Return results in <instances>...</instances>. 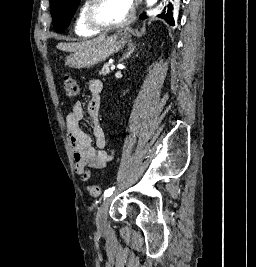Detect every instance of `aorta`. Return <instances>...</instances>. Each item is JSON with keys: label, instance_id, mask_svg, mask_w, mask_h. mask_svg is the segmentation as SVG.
Instances as JSON below:
<instances>
[{"label": "aorta", "instance_id": "1", "mask_svg": "<svg viewBox=\"0 0 256 267\" xmlns=\"http://www.w3.org/2000/svg\"><path fill=\"white\" fill-rule=\"evenodd\" d=\"M158 0H146V6L147 8H151V6H154Z\"/></svg>", "mask_w": 256, "mask_h": 267}]
</instances>
